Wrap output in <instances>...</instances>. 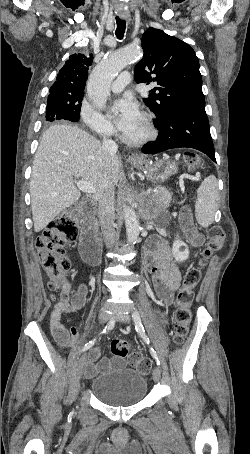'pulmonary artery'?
Instances as JSON below:
<instances>
[{
	"mask_svg": "<svg viewBox=\"0 0 250 454\" xmlns=\"http://www.w3.org/2000/svg\"><path fill=\"white\" fill-rule=\"evenodd\" d=\"M130 81L131 73L129 71H124L112 82L110 89L115 93L121 92Z\"/></svg>",
	"mask_w": 250,
	"mask_h": 454,
	"instance_id": "obj_1",
	"label": "pulmonary artery"
}]
</instances>
